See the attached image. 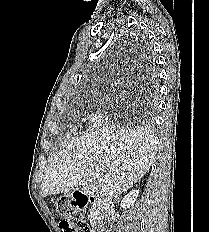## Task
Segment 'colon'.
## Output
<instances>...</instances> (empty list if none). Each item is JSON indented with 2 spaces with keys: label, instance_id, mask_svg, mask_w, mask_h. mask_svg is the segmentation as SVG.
I'll return each instance as SVG.
<instances>
[{
  "label": "colon",
  "instance_id": "colon-1",
  "mask_svg": "<svg viewBox=\"0 0 209 232\" xmlns=\"http://www.w3.org/2000/svg\"><path fill=\"white\" fill-rule=\"evenodd\" d=\"M60 228L64 232H90L88 223L79 216L61 221Z\"/></svg>",
  "mask_w": 209,
  "mask_h": 232
}]
</instances>
